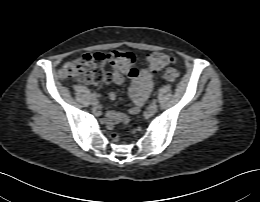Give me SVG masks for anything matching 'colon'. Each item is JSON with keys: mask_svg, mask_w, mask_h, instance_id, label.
Instances as JSON below:
<instances>
[{"mask_svg": "<svg viewBox=\"0 0 260 202\" xmlns=\"http://www.w3.org/2000/svg\"><path fill=\"white\" fill-rule=\"evenodd\" d=\"M134 61V56L127 50H114L108 54H85L79 58L66 62L60 69V76L64 79L91 85H100L112 80L114 72L107 68V63L113 65L120 73H126ZM175 61L174 57L164 52H154L148 56V65L153 71H162V77L167 81H174L179 77L176 69L169 67ZM113 140H118L116 134Z\"/></svg>", "mask_w": 260, "mask_h": 202, "instance_id": "colon-1", "label": "colon"}]
</instances>
